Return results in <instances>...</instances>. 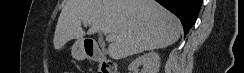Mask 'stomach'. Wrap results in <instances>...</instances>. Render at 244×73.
I'll list each match as a JSON object with an SVG mask.
<instances>
[{
  "label": "stomach",
  "instance_id": "1",
  "mask_svg": "<svg viewBox=\"0 0 244 73\" xmlns=\"http://www.w3.org/2000/svg\"><path fill=\"white\" fill-rule=\"evenodd\" d=\"M72 56L78 60H83L88 57L83 41H76L71 48Z\"/></svg>",
  "mask_w": 244,
  "mask_h": 73
}]
</instances>
